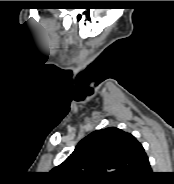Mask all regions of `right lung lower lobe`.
I'll return each instance as SVG.
<instances>
[{
  "instance_id": "98d812e1",
  "label": "right lung lower lobe",
  "mask_w": 174,
  "mask_h": 184,
  "mask_svg": "<svg viewBox=\"0 0 174 184\" xmlns=\"http://www.w3.org/2000/svg\"><path fill=\"white\" fill-rule=\"evenodd\" d=\"M152 174L150 164L146 160L140 169L128 180L120 182L119 184H146Z\"/></svg>"
}]
</instances>
